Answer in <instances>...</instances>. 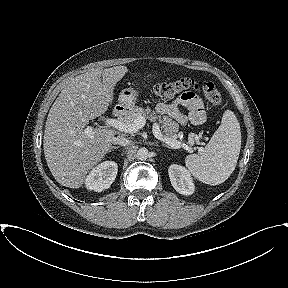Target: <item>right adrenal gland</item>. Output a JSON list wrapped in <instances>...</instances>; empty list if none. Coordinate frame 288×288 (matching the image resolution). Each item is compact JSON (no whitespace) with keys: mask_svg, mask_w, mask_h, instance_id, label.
I'll list each match as a JSON object with an SVG mask.
<instances>
[{"mask_svg":"<svg viewBox=\"0 0 288 288\" xmlns=\"http://www.w3.org/2000/svg\"><path fill=\"white\" fill-rule=\"evenodd\" d=\"M119 147L118 146H112L109 150V152L113 151L114 149H118Z\"/></svg>","mask_w":288,"mask_h":288,"instance_id":"2a0ac1e0","label":"right adrenal gland"}]
</instances>
